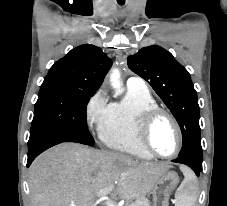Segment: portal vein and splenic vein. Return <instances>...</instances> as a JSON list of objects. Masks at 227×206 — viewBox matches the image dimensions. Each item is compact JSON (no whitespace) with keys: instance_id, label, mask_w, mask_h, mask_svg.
<instances>
[{"instance_id":"portal-vein-and-splenic-vein-1","label":"portal vein and splenic vein","mask_w":227,"mask_h":206,"mask_svg":"<svg viewBox=\"0 0 227 206\" xmlns=\"http://www.w3.org/2000/svg\"><path fill=\"white\" fill-rule=\"evenodd\" d=\"M109 190H111V188H106V189L100 190V191L98 192V197H101V199H102L103 196H104ZM105 204H106L107 206H116V205H115L112 201H110V200H106V201H105ZM70 206H75V204H74V203H71Z\"/></svg>"}]
</instances>
